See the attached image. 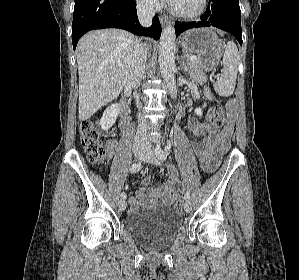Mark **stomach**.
Instances as JSON below:
<instances>
[{"label":"stomach","instance_id":"1","mask_svg":"<svg viewBox=\"0 0 299 280\" xmlns=\"http://www.w3.org/2000/svg\"><path fill=\"white\" fill-rule=\"evenodd\" d=\"M182 48L198 56L203 70L212 71L221 59L224 44L216 33L209 28L187 31L180 40Z\"/></svg>","mask_w":299,"mask_h":280}]
</instances>
